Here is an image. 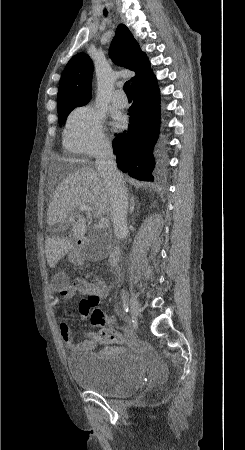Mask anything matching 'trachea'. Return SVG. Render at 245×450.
Here are the masks:
<instances>
[{"label":"trachea","instance_id":"obj_1","mask_svg":"<svg viewBox=\"0 0 245 450\" xmlns=\"http://www.w3.org/2000/svg\"><path fill=\"white\" fill-rule=\"evenodd\" d=\"M104 15H107L106 9L104 10ZM124 91H125V93L127 95H132L129 81L125 82V84H124Z\"/></svg>","mask_w":245,"mask_h":450}]
</instances>
